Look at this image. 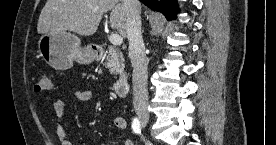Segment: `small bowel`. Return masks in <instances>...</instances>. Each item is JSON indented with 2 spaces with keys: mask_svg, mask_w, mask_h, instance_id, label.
<instances>
[{
  "mask_svg": "<svg viewBox=\"0 0 276 145\" xmlns=\"http://www.w3.org/2000/svg\"><path fill=\"white\" fill-rule=\"evenodd\" d=\"M72 96L75 100L79 102H88L92 99L91 92L82 89L73 91ZM53 108L57 118L56 133L58 138L60 139L61 145H72V143L67 139V133L63 125V119L66 113L65 102L62 99H58L54 102ZM113 123L114 126L119 130H123L126 127V122L122 117H116ZM124 145H132L131 140H125Z\"/></svg>",
  "mask_w": 276,
  "mask_h": 145,
  "instance_id": "obj_1",
  "label": "small bowel"
}]
</instances>
